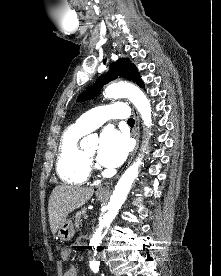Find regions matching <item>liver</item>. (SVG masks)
<instances>
[{"label": "liver", "mask_w": 221, "mask_h": 276, "mask_svg": "<svg viewBox=\"0 0 221 276\" xmlns=\"http://www.w3.org/2000/svg\"><path fill=\"white\" fill-rule=\"evenodd\" d=\"M91 187L59 185L50 195L48 214L51 232L54 235L69 213L83 206L93 195Z\"/></svg>", "instance_id": "1"}]
</instances>
